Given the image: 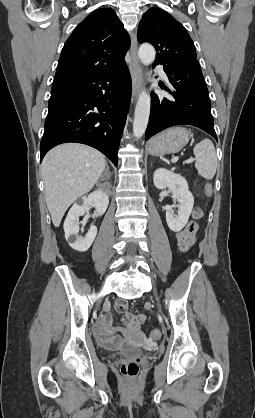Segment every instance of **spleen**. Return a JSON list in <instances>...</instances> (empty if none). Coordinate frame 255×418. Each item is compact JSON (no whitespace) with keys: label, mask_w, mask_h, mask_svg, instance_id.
I'll return each instance as SVG.
<instances>
[{"label":"spleen","mask_w":255,"mask_h":418,"mask_svg":"<svg viewBox=\"0 0 255 418\" xmlns=\"http://www.w3.org/2000/svg\"><path fill=\"white\" fill-rule=\"evenodd\" d=\"M196 156L195 168L203 178L210 180L217 170V156L214 144L210 139H204L193 148Z\"/></svg>","instance_id":"1"}]
</instances>
